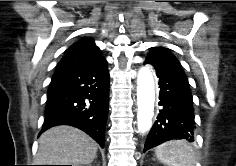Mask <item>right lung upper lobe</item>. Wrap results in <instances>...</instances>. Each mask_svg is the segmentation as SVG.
Returning a JSON list of instances; mask_svg holds the SVG:
<instances>
[{
  "label": "right lung upper lobe",
  "mask_w": 236,
  "mask_h": 166,
  "mask_svg": "<svg viewBox=\"0 0 236 166\" xmlns=\"http://www.w3.org/2000/svg\"><path fill=\"white\" fill-rule=\"evenodd\" d=\"M92 38H84L69 47L58 63L56 71L92 68L105 62Z\"/></svg>",
  "instance_id": "cb5924a9"
}]
</instances>
